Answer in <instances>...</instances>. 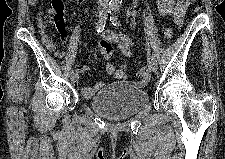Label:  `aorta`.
Instances as JSON below:
<instances>
[{
    "mask_svg": "<svg viewBox=\"0 0 225 159\" xmlns=\"http://www.w3.org/2000/svg\"><path fill=\"white\" fill-rule=\"evenodd\" d=\"M121 4V0H110L109 6L110 7H119Z\"/></svg>",
    "mask_w": 225,
    "mask_h": 159,
    "instance_id": "obj_1",
    "label": "aorta"
}]
</instances>
